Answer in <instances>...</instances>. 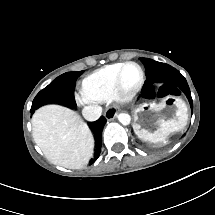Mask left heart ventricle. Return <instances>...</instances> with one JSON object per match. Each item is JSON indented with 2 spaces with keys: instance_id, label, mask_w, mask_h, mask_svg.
Wrapping results in <instances>:
<instances>
[{
  "instance_id": "b2bd125f",
  "label": "left heart ventricle",
  "mask_w": 215,
  "mask_h": 215,
  "mask_svg": "<svg viewBox=\"0 0 215 215\" xmlns=\"http://www.w3.org/2000/svg\"><path fill=\"white\" fill-rule=\"evenodd\" d=\"M120 78V86L119 88L126 90L133 87L135 82L138 79V72L137 69L133 66H126L122 68V72L119 74Z\"/></svg>"
}]
</instances>
